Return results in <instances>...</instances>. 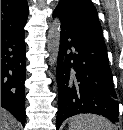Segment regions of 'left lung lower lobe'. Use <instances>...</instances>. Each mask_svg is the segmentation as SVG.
I'll list each match as a JSON object with an SVG mask.
<instances>
[{
  "label": "left lung lower lobe",
  "instance_id": "left-lung-lower-lobe-1",
  "mask_svg": "<svg viewBox=\"0 0 123 130\" xmlns=\"http://www.w3.org/2000/svg\"><path fill=\"white\" fill-rule=\"evenodd\" d=\"M55 17L61 24L56 129L80 113L101 114L118 122L119 103L104 41L79 32L56 10Z\"/></svg>",
  "mask_w": 123,
  "mask_h": 130
}]
</instances>
